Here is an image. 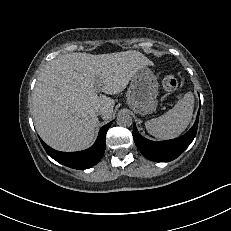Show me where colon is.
I'll return each mask as SVG.
<instances>
[{
  "label": "colon",
  "mask_w": 231,
  "mask_h": 231,
  "mask_svg": "<svg viewBox=\"0 0 231 231\" xmlns=\"http://www.w3.org/2000/svg\"><path fill=\"white\" fill-rule=\"evenodd\" d=\"M163 88L168 91V92H171V93H174L177 91L178 89V81L175 77L173 76H166L164 79H163Z\"/></svg>",
  "instance_id": "1"
}]
</instances>
